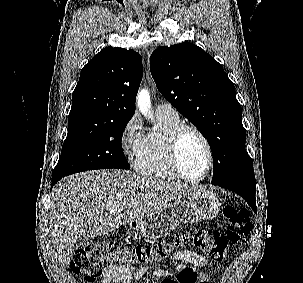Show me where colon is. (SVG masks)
Returning a JSON list of instances; mask_svg holds the SVG:
<instances>
[{
    "instance_id": "colon-1",
    "label": "colon",
    "mask_w": 303,
    "mask_h": 283,
    "mask_svg": "<svg viewBox=\"0 0 303 283\" xmlns=\"http://www.w3.org/2000/svg\"><path fill=\"white\" fill-rule=\"evenodd\" d=\"M222 216L227 224L224 231L202 229L186 231L170 241L147 245H130L120 241L107 240L92 243L76 251L70 264L74 275H84L88 283L97 279L103 271L114 266L131 269L146 268L154 262L166 259L183 244L191 243L212 259H225L230 244L240 243L252 229L249 211L226 203ZM163 283H204L193 268L182 269L175 278Z\"/></svg>"
}]
</instances>
